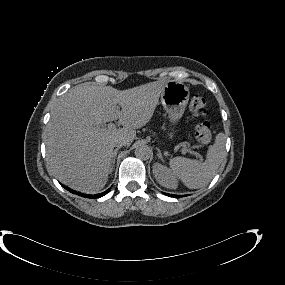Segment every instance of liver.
<instances>
[{
    "label": "liver",
    "instance_id": "obj_1",
    "mask_svg": "<svg viewBox=\"0 0 285 285\" xmlns=\"http://www.w3.org/2000/svg\"><path fill=\"white\" fill-rule=\"evenodd\" d=\"M167 82L126 90L85 84L62 95L45 132L46 160L56 178L80 192L101 190L110 173L114 140L133 142L136 129L152 118ZM117 119L123 128L103 126Z\"/></svg>",
    "mask_w": 285,
    "mask_h": 285
}]
</instances>
